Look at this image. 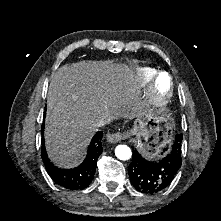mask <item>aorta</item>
<instances>
[{"mask_svg":"<svg viewBox=\"0 0 221 221\" xmlns=\"http://www.w3.org/2000/svg\"><path fill=\"white\" fill-rule=\"evenodd\" d=\"M115 155L120 160H129L132 156V152L127 145L121 144L116 147Z\"/></svg>","mask_w":221,"mask_h":221,"instance_id":"aorta-1","label":"aorta"}]
</instances>
